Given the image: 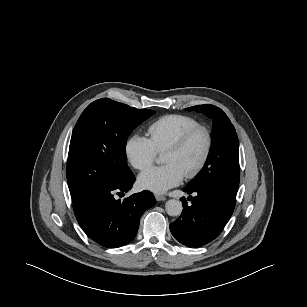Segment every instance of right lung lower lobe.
Here are the masks:
<instances>
[{
  "label": "right lung lower lobe",
  "instance_id": "obj_1",
  "mask_svg": "<svg viewBox=\"0 0 307 307\" xmlns=\"http://www.w3.org/2000/svg\"><path fill=\"white\" fill-rule=\"evenodd\" d=\"M134 181L130 171L120 181L73 202L78 223L98 244L117 248L131 242L137 234L141 215L156 203L149 191L135 193L123 201L114 197L116 192L130 190Z\"/></svg>",
  "mask_w": 307,
  "mask_h": 307
}]
</instances>
